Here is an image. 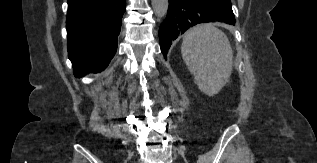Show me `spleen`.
I'll list each match as a JSON object with an SVG mask.
<instances>
[{"instance_id":"3e777b00","label":"spleen","mask_w":317,"mask_h":163,"mask_svg":"<svg viewBox=\"0 0 317 163\" xmlns=\"http://www.w3.org/2000/svg\"><path fill=\"white\" fill-rule=\"evenodd\" d=\"M181 53L198 88L208 96L217 94L232 73L233 51L227 36L213 24L188 30Z\"/></svg>"}]
</instances>
